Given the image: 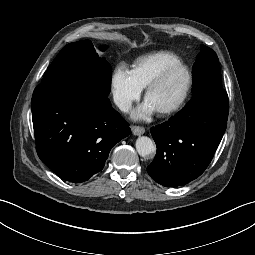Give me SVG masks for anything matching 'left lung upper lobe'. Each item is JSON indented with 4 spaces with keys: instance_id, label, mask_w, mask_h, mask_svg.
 Returning <instances> with one entry per match:
<instances>
[{
    "instance_id": "obj_1",
    "label": "left lung upper lobe",
    "mask_w": 255,
    "mask_h": 255,
    "mask_svg": "<svg viewBox=\"0 0 255 255\" xmlns=\"http://www.w3.org/2000/svg\"><path fill=\"white\" fill-rule=\"evenodd\" d=\"M196 62L193 65L195 81L194 93L208 84L222 86L219 60L216 53L209 47H201Z\"/></svg>"
}]
</instances>
